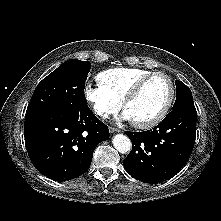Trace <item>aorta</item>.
<instances>
[{
	"label": "aorta",
	"instance_id": "aorta-1",
	"mask_svg": "<svg viewBox=\"0 0 221 221\" xmlns=\"http://www.w3.org/2000/svg\"><path fill=\"white\" fill-rule=\"evenodd\" d=\"M113 146L120 152V153H127L131 150V141L130 139L123 134H117L112 139Z\"/></svg>",
	"mask_w": 221,
	"mask_h": 221
}]
</instances>
